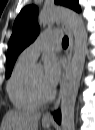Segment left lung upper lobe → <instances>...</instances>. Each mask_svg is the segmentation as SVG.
I'll list each match as a JSON object with an SVG mask.
<instances>
[{"label":"left lung upper lobe","mask_w":95,"mask_h":130,"mask_svg":"<svg viewBox=\"0 0 95 130\" xmlns=\"http://www.w3.org/2000/svg\"><path fill=\"white\" fill-rule=\"evenodd\" d=\"M55 3L72 8L77 12L80 11L78 0H55ZM37 16L38 8L30 5L22 9L16 18L8 45L6 78L10 76L19 53L32 43L39 33Z\"/></svg>","instance_id":"1"}]
</instances>
